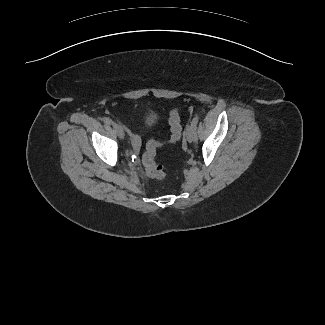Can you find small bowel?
I'll use <instances>...</instances> for the list:
<instances>
[{
	"mask_svg": "<svg viewBox=\"0 0 325 325\" xmlns=\"http://www.w3.org/2000/svg\"><path fill=\"white\" fill-rule=\"evenodd\" d=\"M131 141H132V146L135 151H139L141 148V137L137 132H131Z\"/></svg>",
	"mask_w": 325,
	"mask_h": 325,
	"instance_id": "1",
	"label": "small bowel"
}]
</instances>
